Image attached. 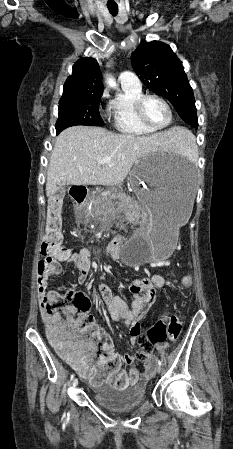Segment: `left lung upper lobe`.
Instances as JSON below:
<instances>
[{"mask_svg": "<svg viewBox=\"0 0 233 449\" xmlns=\"http://www.w3.org/2000/svg\"><path fill=\"white\" fill-rule=\"evenodd\" d=\"M132 67L145 86L169 100L179 116L197 128L193 90L184 72L182 62L169 45L142 41L131 56Z\"/></svg>", "mask_w": 233, "mask_h": 449, "instance_id": "left-lung-upper-lobe-1", "label": "left lung upper lobe"}]
</instances>
